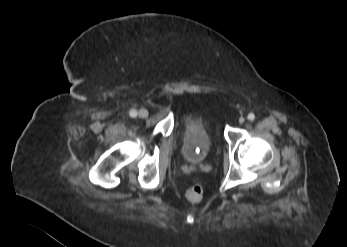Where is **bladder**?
I'll return each instance as SVG.
<instances>
[{
	"mask_svg": "<svg viewBox=\"0 0 347 247\" xmlns=\"http://www.w3.org/2000/svg\"><path fill=\"white\" fill-rule=\"evenodd\" d=\"M182 155L194 164L204 162L214 145V123L205 112H189L181 118Z\"/></svg>",
	"mask_w": 347,
	"mask_h": 247,
	"instance_id": "bladder-1",
	"label": "bladder"
}]
</instances>
